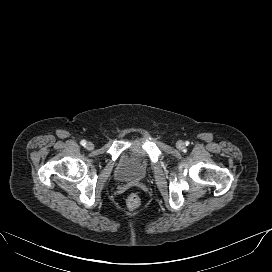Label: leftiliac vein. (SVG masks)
I'll return each instance as SVG.
<instances>
[{"mask_svg": "<svg viewBox=\"0 0 272 272\" xmlns=\"http://www.w3.org/2000/svg\"><path fill=\"white\" fill-rule=\"evenodd\" d=\"M176 146H177L178 149H183L184 148V142L178 141Z\"/></svg>", "mask_w": 272, "mask_h": 272, "instance_id": "1", "label": "left iliac vein"}]
</instances>
